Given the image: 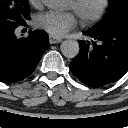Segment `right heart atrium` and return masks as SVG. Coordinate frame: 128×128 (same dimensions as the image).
<instances>
[{
	"label": "right heart atrium",
	"instance_id": "1",
	"mask_svg": "<svg viewBox=\"0 0 128 128\" xmlns=\"http://www.w3.org/2000/svg\"><path fill=\"white\" fill-rule=\"evenodd\" d=\"M29 4L35 8H38L42 4V0H28Z\"/></svg>",
	"mask_w": 128,
	"mask_h": 128
}]
</instances>
